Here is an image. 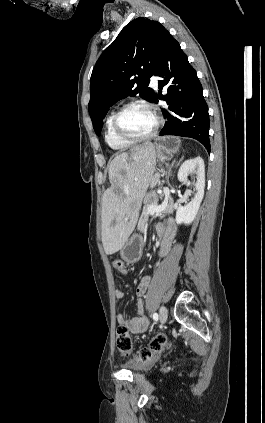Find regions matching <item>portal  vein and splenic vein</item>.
I'll use <instances>...</instances> for the list:
<instances>
[{
  "mask_svg": "<svg viewBox=\"0 0 265 423\" xmlns=\"http://www.w3.org/2000/svg\"><path fill=\"white\" fill-rule=\"evenodd\" d=\"M163 192H164V195H165L163 202L160 205H151L148 208V211H149L150 214H152V215L153 214H159V213H161L162 211L165 210V208H166V206L169 202V199H170V190H169L168 187H165Z\"/></svg>",
  "mask_w": 265,
  "mask_h": 423,
  "instance_id": "obj_1",
  "label": "portal vein and splenic vein"
}]
</instances>
